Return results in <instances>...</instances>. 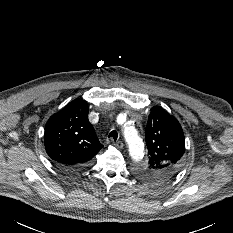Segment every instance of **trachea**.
Wrapping results in <instances>:
<instances>
[{"label": "trachea", "instance_id": "trachea-1", "mask_svg": "<svg viewBox=\"0 0 233 233\" xmlns=\"http://www.w3.org/2000/svg\"><path fill=\"white\" fill-rule=\"evenodd\" d=\"M108 137H111L112 139H114V141H116L118 138V133L115 130H113L109 133Z\"/></svg>", "mask_w": 233, "mask_h": 233}]
</instances>
